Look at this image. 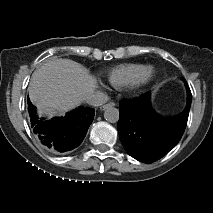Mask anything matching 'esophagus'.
Returning a JSON list of instances; mask_svg holds the SVG:
<instances>
[{
	"label": "esophagus",
	"instance_id": "1",
	"mask_svg": "<svg viewBox=\"0 0 213 213\" xmlns=\"http://www.w3.org/2000/svg\"><path fill=\"white\" fill-rule=\"evenodd\" d=\"M109 106H115V103L114 102H109L103 106L100 107V110H105L106 108H108Z\"/></svg>",
	"mask_w": 213,
	"mask_h": 213
}]
</instances>
